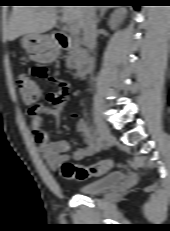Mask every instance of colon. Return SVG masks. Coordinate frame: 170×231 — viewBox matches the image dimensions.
<instances>
[{
	"label": "colon",
	"mask_w": 170,
	"mask_h": 231,
	"mask_svg": "<svg viewBox=\"0 0 170 231\" xmlns=\"http://www.w3.org/2000/svg\"><path fill=\"white\" fill-rule=\"evenodd\" d=\"M16 85L22 101L32 106V109H36V103L40 97V89L36 81L30 75L23 73L18 76ZM112 166L113 161L110 159L102 160L90 166L67 161L59 166V173L64 179L84 181L107 172Z\"/></svg>",
	"instance_id": "colon-1"
}]
</instances>
